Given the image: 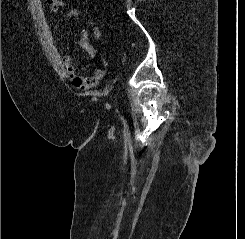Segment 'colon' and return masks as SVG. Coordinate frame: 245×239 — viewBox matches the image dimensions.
<instances>
[{"label": "colon", "mask_w": 245, "mask_h": 239, "mask_svg": "<svg viewBox=\"0 0 245 239\" xmlns=\"http://www.w3.org/2000/svg\"><path fill=\"white\" fill-rule=\"evenodd\" d=\"M47 2H48L49 4H51V3L54 2V0H47Z\"/></svg>", "instance_id": "5ec220e1"}]
</instances>
